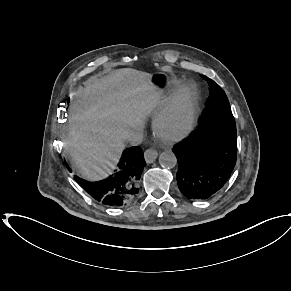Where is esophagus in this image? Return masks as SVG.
I'll return each mask as SVG.
<instances>
[{"mask_svg":"<svg viewBox=\"0 0 291 291\" xmlns=\"http://www.w3.org/2000/svg\"><path fill=\"white\" fill-rule=\"evenodd\" d=\"M158 156V153L155 149L149 148L144 152V157L147 163H153Z\"/></svg>","mask_w":291,"mask_h":291,"instance_id":"obj_1","label":"esophagus"}]
</instances>
